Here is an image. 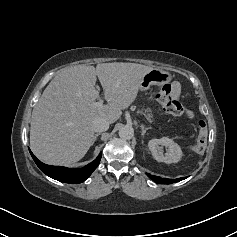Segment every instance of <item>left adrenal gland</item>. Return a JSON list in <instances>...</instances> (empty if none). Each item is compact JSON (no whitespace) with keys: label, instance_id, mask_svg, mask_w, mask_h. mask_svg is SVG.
<instances>
[{"label":"left adrenal gland","instance_id":"left-adrenal-gland-1","mask_svg":"<svg viewBox=\"0 0 237 237\" xmlns=\"http://www.w3.org/2000/svg\"><path fill=\"white\" fill-rule=\"evenodd\" d=\"M140 127H141V129H142L141 135L144 137L146 131H147L149 128H145L143 125H141Z\"/></svg>","mask_w":237,"mask_h":237}]
</instances>
